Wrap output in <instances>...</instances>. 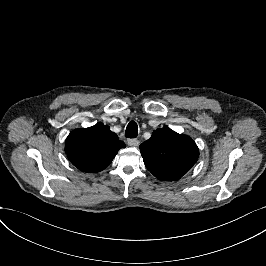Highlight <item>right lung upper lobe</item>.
I'll return each mask as SVG.
<instances>
[{
    "label": "right lung upper lobe",
    "mask_w": 266,
    "mask_h": 266,
    "mask_svg": "<svg viewBox=\"0 0 266 266\" xmlns=\"http://www.w3.org/2000/svg\"><path fill=\"white\" fill-rule=\"evenodd\" d=\"M125 147L108 125L100 123L72 131L66 139L65 152L79 170L96 173L105 169L117 152Z\"/></svg>",
    "instance_id": "obj_1"
}]
</instances>
